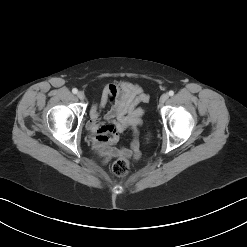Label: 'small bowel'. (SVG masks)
Wrapping results in <instances>:
<instances>
[{
    "label": "small bowel",
    "instance_id": "c3829d8e",
    "mask_svg": "<svg viewBox=\"0 0 247 247\" xmlns=\"http://www.w3.org/2000/svg\"><path fill=\"white\" fill-rule=\"evenodd\" d=\"M148 100V94L131 82H113L104 86L100 103L90 110L87 128L93 134L95 150L105 162L116 157L134 160L140 157L137 128L145 111L137 105ZM109 103L111 106L103 113ZM126 130L133 131L130 147H117L119 134Z\"/></svg>",
    "mask_w": 247,
    "mask_h": 247
}]
</instances>
